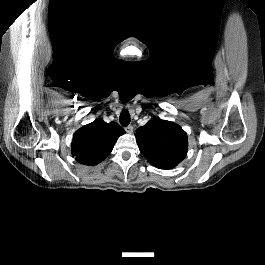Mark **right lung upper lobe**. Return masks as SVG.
I'll use <instances>...</instances> for the list:
<instances>
[{
    "label": "right lung upper lobe",
    "mask_w": 265,
    "mask_h": 265,
    "mask_svg": "<svg viewBox=\"0 0 265 265\" xmlns=\"http://www.w3.org/2000/svg\"><path fill=\"white\" fill-rule=\"evenodd\" d=\"M124 133L116 122L106 123L97 119L74 133L72 155L81 164L96 165L110 154L117 139Z\"/></svg>",
    "instance_id": "1"
}]
</instances>
